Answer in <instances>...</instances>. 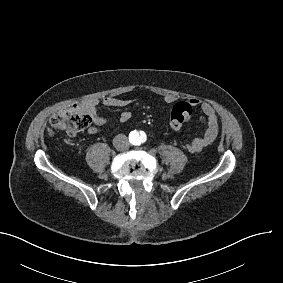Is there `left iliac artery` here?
Instances as JSON below:
<instances>
[{"label": "left iliac artery", "instance_id": "obj_1", "mask_svg": "<svg viewBox=\"0 0 283 283\" xmlns=\"http://www.w3.org/2000/svg\"><path fill=\"white\" fill-rule=\"evenodd\" d=\"M142 135L146 137V134L144 132L142 133Z\"/></svg>", "mask_w": 283, "mask_h": 283}]
</instances>
